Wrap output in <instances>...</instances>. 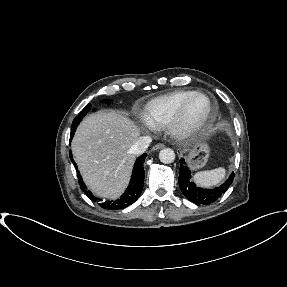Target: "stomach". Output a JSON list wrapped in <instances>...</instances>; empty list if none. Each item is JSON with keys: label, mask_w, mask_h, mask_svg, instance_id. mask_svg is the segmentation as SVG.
Returning <instances> with one entry per match:
<instances>
[{"label": "stomach", "mask_w": 287, "mask_h": 287, "mask_svg": "<svg viewBox=\"0 0 287 287\" xmlns=\"http://www.w3.org/2000/svg\"><path fill=\"white\" fill-rule=\"evenodd\" d=\"M210 155V148L207 143L194 145L188 155L187 163L191 169H199L205 166Z\"/></svg>", "instance_id": "obj_1"}]
</instances>
